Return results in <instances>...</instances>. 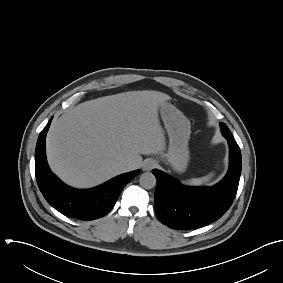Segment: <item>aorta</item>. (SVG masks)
<instances>
[{
	"label": "aorta",
	"mask_w": 283,
	"mask_h": 283,
	"mask_svg": "<svg viewBox=\"0 0 283 283\" xmlns=\"http://www.w3.org/2000/svg\"><path fill=\"white\" fill-rule=\"evenodd\" d=\"M140 185L145 189H152L156 186V178L150 172H145L140 176Z\"/></svg>",
	"instance_id": "obj_1"
}]
</instances>
